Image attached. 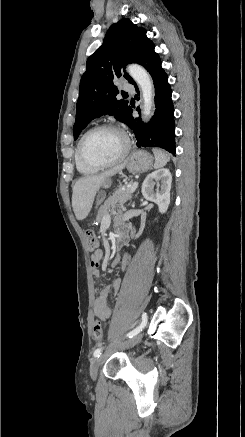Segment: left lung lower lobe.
<instances>
[{
    "mask_svg": "<svg viewBox=\"0 0 245 437\" xmlns=\"http://www.w3.org/2000/svg\"><path fill=\"white\" fill-rule=\"evenodd\" d=\"M141 65L146 68L153 78L155 86V114L143 124L140 118H133V109L130 106L126 124L133 130L138 147H160L175 154V122L174 107L171 99V88L168 76L161 67L159 55L151 49L142 59ZM136 90L137 86L135 82ZM140 112V109L137 108Z\"/></svg>",
    "mask_w": 245,
    "mask_h": 437,
    "instance_id": "1",
    "label": "left lung lower lobe"
}]
</instances>
